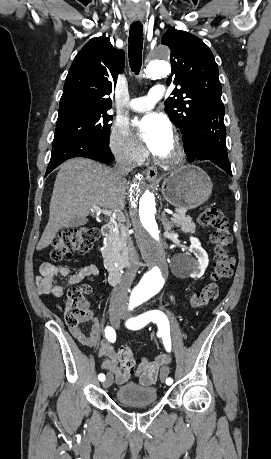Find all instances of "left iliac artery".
Returning <instances> with one entry per match:
<instances>
[{
	"mask_svg": "<svg viewBox=\"0 0 271 459\" xmlns=\"http://www.w3.org/2000/svg\"><path fill=\"white\" fill-rule=\"evenodd\" d=\"M137 305H138L137 303L131 302L129 305V308L133 309ZM150 321L158 325L157 333L159 336H162L166 351L170 352L171 351V338H170V330H169L170 328L169 321H168L167 316L163 312L159 310L148 311L146 313H143L137 316L136 318H131L128 321H126V326L127 328L131 330H138L144 327ZM172 382L173 380L171 378H168L165 384L168 387H172L173 386Z\"/></svg>",
	"mask_w": 271,
	"mask_h": 459,
	"instance_id": "left-iliac-artery-1",
	"label": "left iliac artery"
}]
</instances>
